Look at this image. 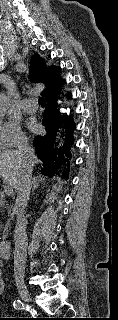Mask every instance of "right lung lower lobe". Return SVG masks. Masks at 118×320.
<instances>
[{"instance_id": "98d812e1", "label": "right lung lower lobe", "mask_w": 118, "mask_h": 320, "mask_svg": "<svg viewBox=\"0 0 118 320\" xmlns=\"http://www.w3.org/2000/svg\"><path fill=\"white\" fill-rule=\"evenodd\" d=\"M57 97L58 91L45 98L47 107L43 124L47 134L37 136L34 139V146L38 158L44 163L43 175L53 176L62 172L63 178L68 179L74 124L70 120L63 121L57 109Z\"/></svg>"}]
</instances>
